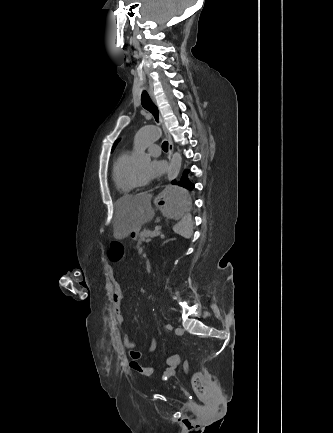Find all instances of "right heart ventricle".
Here are the masks:
<instances>
[{"instance_id": "e07e8e85", "label": "right heart ventricle", "mask_w": 333, "mask_h": 433, "mask_svg": "<svg viewBox=\"0 0 333 433\" xmlns=\"http://www.w3.org/2000/svg\"><path fill=\"white\" fill-rule=\"evenodd\" d=\"M130 166V152H120L113 164L112 178L116 189L121 195H127L133 190V186L128 180Z\"/></svg>"}]
</instances>
